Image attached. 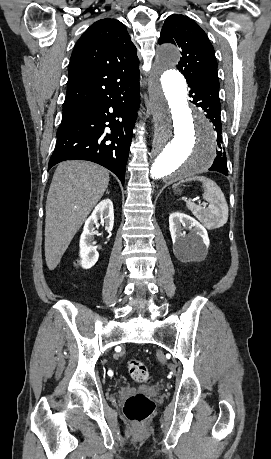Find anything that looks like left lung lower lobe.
Segmentation results:
<instances>
[{
  "label": "left lung lower lobe",
  "instance_id": "0a47b994",
  "mask_svg": "<svg viewBox=\"0 0 271 459\" xmlns=\"http://www.w3.org/2000/svg\"><path fill=\"white\" fill-rule=\"evenodd\" d=\"M191 88L190 97L197 107H201L206 112V117L215 126L216 131V158L213 165L209 168L211 171H218L227 175L226 152L222 140L221 124V104L219 102V88L213 87L209 82L200 84H188Z\"/></svg>",
  "mask_w": 271,
  "mask_h": 459
}]
</instances>
